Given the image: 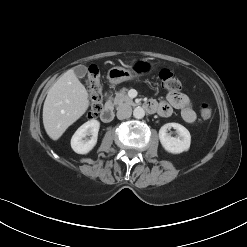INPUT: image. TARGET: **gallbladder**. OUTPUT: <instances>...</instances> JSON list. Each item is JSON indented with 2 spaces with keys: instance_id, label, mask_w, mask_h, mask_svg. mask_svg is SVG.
<instances>
[{
  "instance_id": "obj_1",
  "label": "gallbladder",
  "mask_w": 247,
  "mask_h": 247,
  "mask_svg": "<svg viewBox=\"0 0 247 247\" xmlns=\"http://www.w3.org/2000/svg\"><path fill=\"white\" fill-rule=\"evenodd\" d=\"M74 73L78 78H84L87 74V68L84 65H78L74 68Z\"/></svg>"
}]
</instances>
